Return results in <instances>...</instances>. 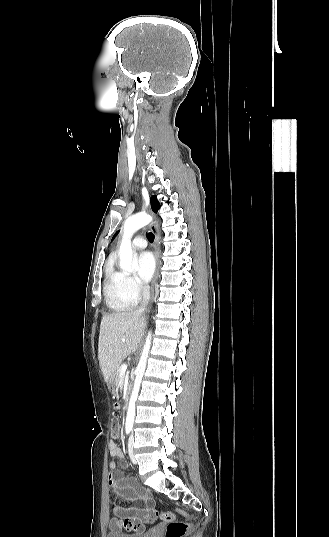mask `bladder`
Instances as JSON below:
<instances>
[{
    "mask_svg": "<svg viewBox=\"0 0 329 537\" xmlns=\"http://www.w3.org/2000/svg\"><path fill=\"white\" fill-rule=\"evenodd\" d=\"M106 537H154V531H148L141 534H126L120 531H110Z\"/></svg>",
    "mask_w": 329,
    "mask_h": 537,
    "instance_id": "31cf9c89",
    "label": "bladder"
}]
</instances>
